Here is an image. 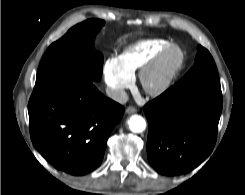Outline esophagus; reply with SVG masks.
Segmentation results:
<instances>
[{"label": "esophagus", "instance_id": "obj_1", "mask_svg": "<svg viewBox=\"0 0 245 195\" xmlns=\"http://www.w3.org/2000/svg\"><path fill=\"white\" fill-rule=\"evenodd\" d=\"M137 111V109L135 108V107H132V106H130V107H128L127 109H126V113L127 114H133V113H135Z\"/></svg>", "mask_w": 245, "mask_h": 195}]
</instances>
